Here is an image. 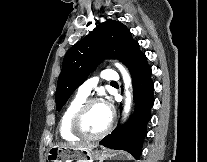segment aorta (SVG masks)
I'll return each instance as SVG.
<instances>
[{
	"label": "aorta",
	"mask_w": 207,
	"mask_h": 162,
	"mask_svg": "<svg viewBox=\"0 0 207 162\" xmlns=\"http://www.w3.org/2000/svg\"><path fill=\"white\" fill-rule=\"evenodd\" d=\"M115 66L119 69L124 82V88H125V105H124V114L125 116L128 115L131 109L132 104V93L130 91V88L132 87L131 84V77L127 69L120 63H115Z\"/></svg>",
	"instance_id": "aorta-1"
}]
</instances>
